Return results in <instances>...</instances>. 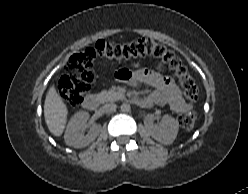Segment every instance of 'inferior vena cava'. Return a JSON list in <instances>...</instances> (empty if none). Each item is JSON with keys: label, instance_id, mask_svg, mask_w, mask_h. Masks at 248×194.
<instances>
[{"label": "inferior vena cava", "instance_id": "602c4592", "mask_svg": "<svg viewBox=\"0 0 248 194\" xmlns=\"http://www.w3.org/2000/svg\"><path fill=\"white\" fill-rule=\"evenodd\" d=\"M116 108L117 106L114 103H107L103 106V110L107 113L116 111Z\"/></svg>", "mask_w": 248, "mask_h": 194}]
</instances>
